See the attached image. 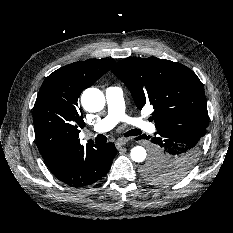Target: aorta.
Here are the masks:
<instances>
[{"label":"aorta","mask_w":233,"mask_h":233,"mask_svg":"<svg viewBox=\"0 0 233 233\" xmlns=\"http://www.w3.org/2000/svg\"><path fill=\"white\" fill-rule=\"evenodd\" d=\"M83 108L88 112H99L105 106L104 94L97 88L86 89L81 96ZM131 159L135 162H143L147 153L142 146H135L130 152Z\"/></svg>","instance_id":"762f6f07"}]
</instances>
